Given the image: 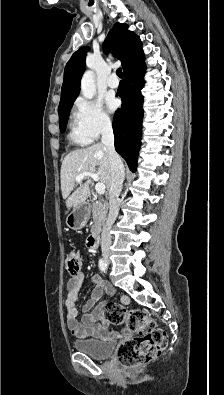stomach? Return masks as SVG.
Returning a JSON list of instances; mask_svg holds the SVG:
<instances>
[{
    "label": "stomach",
    "mask_w": 224,
    "mask_h": 395,
    "mask_svg": "<svg viewBox=\"0 0 224 395\" xmlns=\"http://www.w3.org/2000/svg\"><path fill=\"white\" fill-rule=\"evenodd\" d=\"M90 217V208L87 203L80 204L73 208V210L66 217V225L74 230H79L85 227Z\"/></svg>",
    "instance_id": "1"
}]
</instances>
